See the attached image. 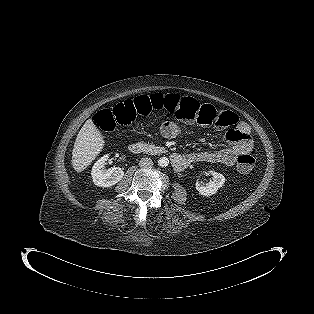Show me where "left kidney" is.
Here are the masks:
<instances>
[{
    "label": "left kidney",
    "instance_id": "left-kidney-1",
    "mask_svg": "<svg viewBox=\"0 0 314 314\" xmlns=\"http://www.w3.org/2000/svg\"><path fill=\"white\" fill-rule=\"evenodd\" d=\"M210 173L213 176V181H210L208 183H202L197 181L195 184L197 191L203 196H211L215 194L217 190L221 188L225 183V177L222 174L215 171H210Z\"/></svg>",
    "mask_w": 314,
    "mask_h": 314
}]
</instances>
